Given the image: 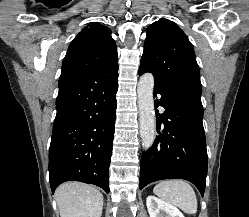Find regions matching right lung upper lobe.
<instances>
[{
	"label": "right lung upper lobe",
	"instance_id": "1",
	"mask_svg": "<svg viewBox=\"0 0 249 217\" xmlns=\"http://www.w3.org/2000/svg\"><path fill=\"white\" fill-rule=\"evenodd\" d=\"M117 62V47L109 28L91 23L71 42L62 63L61 75L95 73Z\"/></svg>",
	"mask_w": 249,
	"mask_h": 217
}]
</instances>
